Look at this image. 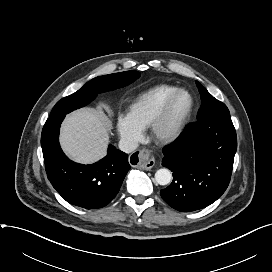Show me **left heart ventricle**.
<instances>
[{
  "instance_id": "1",
  "label": "left heart ventricle",
  "mask_w": 272,
  "mask_h": 272,
  "mask_svg": "<svg viewBox=\"0 0 272 272\" xmlns=\"http://www.w3.org/2000/svg\"><path fill=\"white\" fill-rule=\"evenodd\" d=\"M190 107V97L186 93L180 94L171 109L170 115L166 122V129L173 127L188 111Z\"/></svg>"
}]
</instances>
